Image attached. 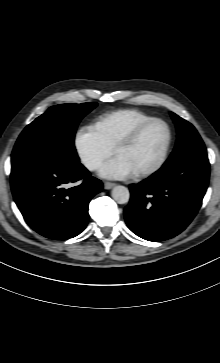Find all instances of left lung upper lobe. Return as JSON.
<instances>
[{"instance_id":"5c2ea615","label":"left lung upper lobe","mask_w":220,"mask_h":363,"mask_svg":"<svg viewBox=\"0 0 220 363\" xmlns=\"http://www.w3.org/2000/svg\"><path fill=\"white\" fill-rule=\"evenodd\" d=\"M171 116L176 124L178 135L175 149L167 161L175 160L188 153L206 152L205 145L194 126L173 112Z\"/></svg>"}]
</instances>
